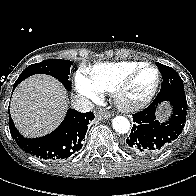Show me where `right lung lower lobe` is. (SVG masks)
Segmentation results:
<instances>
[{
    "label": "right lung lower lobe",
    "mask_w": 196,
    "mask_h": 196,
    "mask_svg": "<svg viewBox=\"0 0 196 196\" xmlns=\"http://www.w3.org/2000/svg\"><path fill=\"white\" fill-rule=\"evenodd\" d=\"M93 118V112L80 113L74 109L68 110L65 119L56 130L33 139L24 138L10 116L9 129L12 138L26 153L45 160H60L74 156L82 148L89 121Z\"/></svg>",
    "instance_id": "98d812e1"
}]
</instances>
